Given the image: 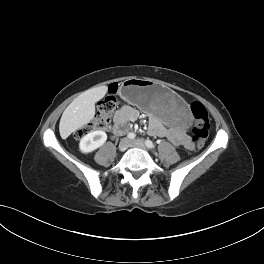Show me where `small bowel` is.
<instances>
[{
    "mask_svg": "<svg viewBox=\"0 0 264 264\" xmlns=\"http://www.w3.org/2000/svg\"><path fill=\"white\" fill-rule=\"evenodd\" d=\"M139 116L137 109L131 106H122L115 114V124L122 127L128 121H135ZM149 133L157 137H166L175 145H181L185 148H192L190 137L185 130L180 127L167 128L157 118H152L148 127Z\"/></svg>",
    "mask_w": 264,
    "mask_h": 264,
    "instance_id": "c3829d8e",
    "label": "small bowel"
}]
</instances>
